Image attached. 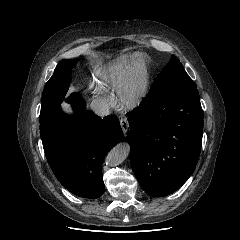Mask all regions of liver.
Masks as SVG:
<instances>
[{"mask_svg": "<svg viewBox=\"0 0 240 240\" xmlns=\"http://www.w3.org/2000/svg\"><path fill=\"white\" fill-rule=\"evenodd\" d=\"M62 107L65 109L66 112L71 113L69 105L64 104Z\"/></svg>", "mask_w": 240, "mask_h": 240, "instance_id": "6515ba94", "label": "liver"}]
</instances>
